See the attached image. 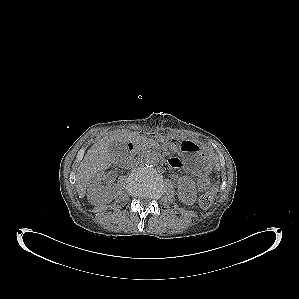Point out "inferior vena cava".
I'll list each match as a JSON object with an SVG mask.
<instances>
[{
	"mask_svg": "<svg viewBox=\"0 0 299 299\" xmlns=\"http://www.w3.org/2000/svg\"><path fill=\"white\" fill-rule=\"evenodd\" d=\"M138 165V162L136 160H131L128 162V167H135Z\"/></svg>",
	"mask_w": 299,
	"mask_h": 299,
	"instance_id": "602c4592",
	"label": "inferior vena cava"
}]
</instances>
